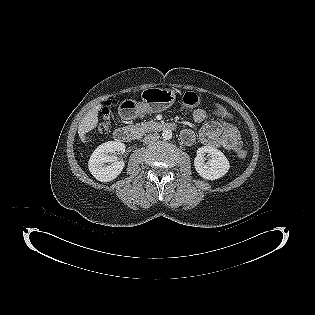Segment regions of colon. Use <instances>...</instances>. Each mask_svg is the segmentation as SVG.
Segmentation results:
<instances>
[{
    "label": "colon",
    "instance_id": "1",
    "mask_svg": "<svg viewBox=\"0 0 315 315\" xmlns=\"http://www.w3.org/2000/svg\"><path fill=\"white\" fill-rule=\"evenodd\" d=\"M180 103L183 107H196L201 103V99L197 93L187 92L182 96ZM110 113L108 104L102 109V118L98 126L100 133H106L108 131ZM237 154L242 160H247L249 158V153L243 149L238 150Z\"/></svg>",
    "mask_w": 315,
    "mask_h": 315
}]
</instances>
